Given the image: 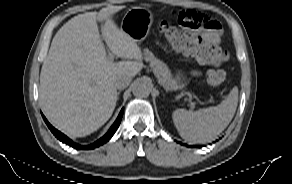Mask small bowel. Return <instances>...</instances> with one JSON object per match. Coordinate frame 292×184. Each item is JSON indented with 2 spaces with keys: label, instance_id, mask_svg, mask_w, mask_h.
Returning a JSON list of instances; mask_svg holds the SVG:
<instances>
[{
  "label": "small bowel",
  "instance_id": "c3829d8e",
  "mask_svg": "<svg viewBox=\"0 0 292 184\" xmlns=\"http://www.w3.org/2000/svg\"><path fill=\"white\" fill-rule=\"evenodd\" d=\"M217 29L202 28L196 31L204 40L209 41L213 44H219L221 40V25L217 22Z\"/></svg>",
  "mask_w": 292,
  "mask_h": 184
}]
</instances>
